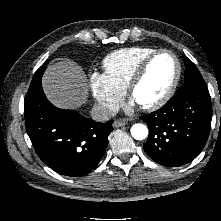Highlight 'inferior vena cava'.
<instances>
[{"mask_svg": "<svg viewBox=\"0 0 221 221\" xmlns=\"http://www.w3.org/2000/svg\"><path fill=\"white\" fill-rule=\"evenodd\" d=\"M116 112L114 109L107 107L103 104H95L91 110V116L95 121L106 122L111 117L115 116Z\"/></svg>", "mask_w": 221, "mask_h": 221, "instance_id": "1", "label": "inferior vena cava"}]
</instances>
